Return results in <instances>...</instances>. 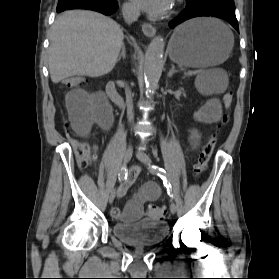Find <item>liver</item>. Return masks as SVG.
I'll use <instances>...</instances> for the list:
<instances>
[{"mask_svg":"<svg viewBox=\"0 0 279 279\" xmlns=\"http://www.w3.org/2000/svg\"><path fill=\"white\" fill-rule=\"evenodd\" d=\"M123 31L112 19L84 10L66 11L52 26L48 49L53 83L72 77H98L112 71L123 44Z\"/></svg>","mask_w":279,"mask_h":279,"instance_id":"obj_1","label":"liver"}]
</instances>
